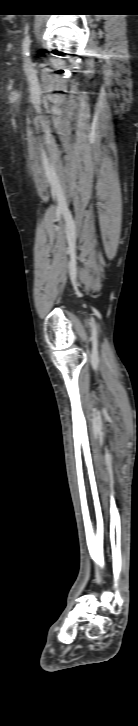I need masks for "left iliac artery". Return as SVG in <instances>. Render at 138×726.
I'll list each match as a JSON object with an SVG mask.
<instances>
[{
  "mask_svg": "<svg viewBox=\"0 0 138 726\" xmlns=\"http://www.w3.org/2000/svg\"><path fill=\"white\" fill-rule=\"evenodd\" d=\"M30 44H31L30 35H29V33H26L25 38L23 40V54L26 58H28V56L30 54Z\"/></svg>",
  "mask_w": 138,
  "mask_h": 726,
  "instance_id": "obj_1",
  "label": "left iliac artery"
}]
</instances>
